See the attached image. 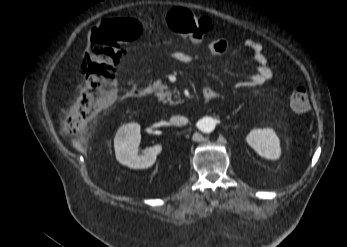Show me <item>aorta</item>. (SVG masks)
<instances>
[{
  "mask_svg": "<svg viewBox=\"0 0 347 247\" xmlns=\"http://www.w3.org/2000/svg\"><path fill=\"white\" fill-rule=\"evenodd\" d=\"M199 126L203 133H211L216 127V121L212 117H204L199 121Z\"/></svg>",
  "mask_w": 347,
  "mask_h": 247,
  "instance_id": "762f6f07",
  "label": "aorta"
}]
</instances>
